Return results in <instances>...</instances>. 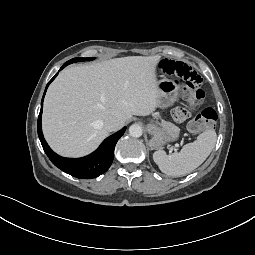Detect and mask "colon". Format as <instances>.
I'll use <instances>...</instances> for the list:
<instances>
[{
    "label": "colon",
    "mask_w": 255,
    "mask_h": 255,
    "mask_svg": "<svg viewBox=\"0 0 255 255\" xmlns=\"http://www.w3.org/2000/svg\"><path fill=\"white\" fill-rule=\"evenodd\" d=\"M161 69L168 75L178 77L185 84V98L191 104H199L205 98V92L201 88L202 78L189 65L184 62L164 59L160 63ZM217 121V113L213 108L203 109L189 122V130L199 133L212 128Z\"/></svg>",
    "instance_id": "obj_1"
}]
</instances>
